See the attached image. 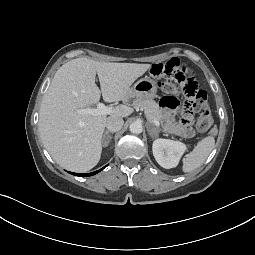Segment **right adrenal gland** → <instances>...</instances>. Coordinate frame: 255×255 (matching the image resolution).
Wrapping results in <instances>:
<instances>
[{
	"label": "right adrenal gland",
	"instance_id": "right-adrenal-gland-1",
	"mask_svg": "<svg viewBox=\"0 0 255 255\" xmlns=\"http://www.w3.org/2000/svg\"><path fill=\"white\" fill-rule=\"evenodd\" d=\"M107 138V141H105V139ZM103 147L108 146V144L111 142L112 140V136L110 135L109 131H105V134L103 135Z\"/></svg>",
	"mask_w": 255,
	"mask_h": 255
}]
</instances>
